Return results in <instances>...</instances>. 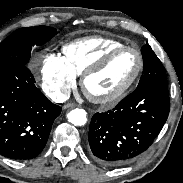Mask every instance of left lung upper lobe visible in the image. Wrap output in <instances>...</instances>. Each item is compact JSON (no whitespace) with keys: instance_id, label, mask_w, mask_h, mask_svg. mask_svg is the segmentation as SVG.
<instances>
[{"instance_id":"5c2ea615","label":"left lung upper lobe","mask_w":183,"mask_h":183,"mask_svg":"<svg viewBox=\"0 0 183 183\" xmlns=\"http://www.w3.org/2000/svg\"><path fill=\"white\" fill-rule=\"evenodd\" d=\"M142 56L144 70L137 88L150 85L167 86L164 67L148 44L142 48Z\"/></svg>"}]
</instances>
